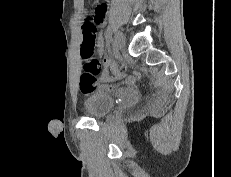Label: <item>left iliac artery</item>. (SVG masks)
<instances>
[{"label": "left iliac artery", "instance_id": "44dca946", "mask_svg": "<svg viewBox=\"0 0 231 177\" xmlns=\"http://www.w3.org/2000/svg\"><path fill=\"white\" fill-rule=\"evenodd\" d=\"M111 38H112V30L110 27L107 28V31H106V47H105V52H106V55L107 56H110L111 55V50H112V45H113V42L111 41Z\"/></svg>", "mask_w": 231, "mask_h": 177}]
</instances>
